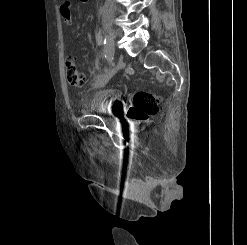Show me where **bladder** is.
Returning <instances> with one entry per match:
<instances>
[{"label": "bladder", "mask_w": 247, "mask_h": 245, "mask_svg": "<svg viewBox=\"0 0 247 245\" xmlns=\"http://www.w3.org/2000/svg\"><path fill=\"white\" fill-rule=\"evenodd\" d=\"M121 100V93L114 89H98L90 96L86 109L90 112L105 114L115 111Z\"/></svg>", "instance_id": "obj_1"}]
</instances>
